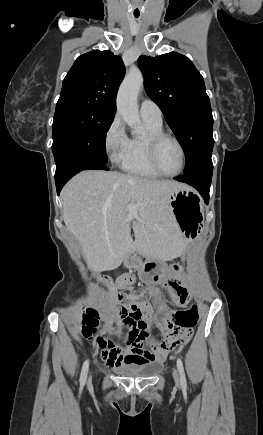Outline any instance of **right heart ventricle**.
Listing matches in <instances>:
<instances>
[{"instance_id":"1","label":"right heart ventricle","mask_w":263,"mask_h":435,"mask_svg":"<svg viewBox=\"0 0 263 435\" xmlns=\"http://www.w3.org/2000/svg\"><path fill=\"white\" fill-rule=\"evenodd\" d=\"M146 133L143 136H133L128 139L124 157L121 161V168L129 174L158 178L159 175L151 166L148 159L147 140L152 134L162 132V122L143 118Z\"/></svg>"}]
</instances>
